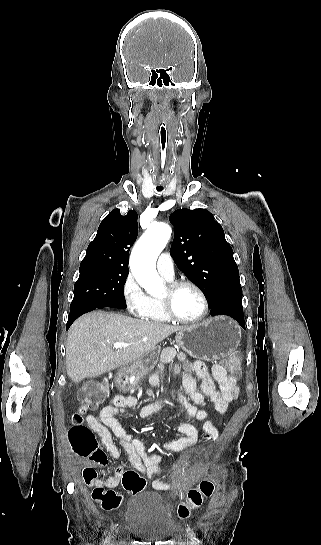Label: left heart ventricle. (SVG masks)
Listing matches in <instances>:
<instances>
[{"label":"left heart ventricle","instance_id":"1","mask_svg":"<svg viewBox=\"0 0 321 545\" xmlns=\"http://www.w3.org/2000/svg\"><path fill=\"white\" fill-rule=\"evenodd\" d=\"M160 301H167L175 313L183 319H195L202 312L201 298L191 288H183L174 294H170L165 287Z\"/></svg>","mask_w":321,"mask_h":545}]
</instances>
